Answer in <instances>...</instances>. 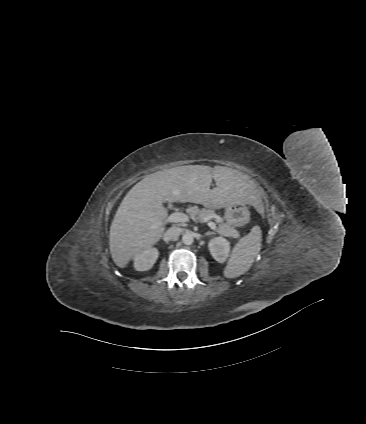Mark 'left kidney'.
Segmentation results:
<instances>
[{
    "mask_svg": "<svg viewBox=\"0 0 366 424\" xmlns=\"http://www.w3.org/2000/svg\"><path fill=\"white\" fill-rule=\"evenodd\" d=\"M212 257L219 263H224L230 252V242L223 237H215L208 244Z\"/></svg>",
    "mask_w": 366,
    "mask_h": 424,
    "instance_id": "left-kidney-1",
    "label": "left kidney"
}]
</instances>
